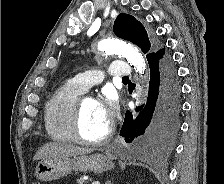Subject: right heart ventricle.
Listing matches in <instances>:
<instances>
[{
  "label": "right heart ventricle",
  "instance_id": "e07e8e85",
  "mask_svg": "<svg viewBox=\"0 0 224 184\" xmlns=\"http://www.w3.org/2000/svg\"><path fill=\"white\" fill-rule=\"evenodd\" d=\"M82 91L67 82L59 87L45 106L44 123L49 137L57 142H73L71 120L77 100Z\"/></svg>",
  "mask_w": 224,
  "mask_h": 184
}]
</instances>
